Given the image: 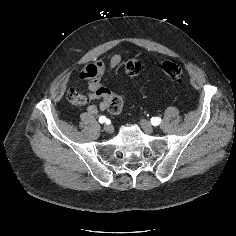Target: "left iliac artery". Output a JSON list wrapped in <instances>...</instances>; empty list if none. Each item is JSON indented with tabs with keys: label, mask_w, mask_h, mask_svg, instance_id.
<instances>
[{
	"label": "left iliac artery",
	"mask_w": 236,
	"mask_h": 236,
	"mask_svg": "<svg viewBox=\"0 0 236 236\" xmlns=\"http://www.w3.org/2000/svg\"><path fill=\"white\" fill-rule=\"evenodd\" d=\"M161 123V118H159V117H153V118H151V124L153 125V126H157V125H159Z\"/></svg>",
	"instance_id": "left-iliac-artery-1"
}]
</instances>
